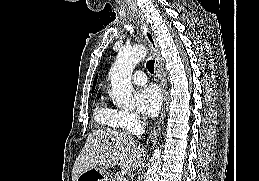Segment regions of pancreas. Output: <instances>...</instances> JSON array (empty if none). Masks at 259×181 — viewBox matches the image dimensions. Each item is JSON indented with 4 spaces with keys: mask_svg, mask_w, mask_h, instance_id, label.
<instances>
[{
    "mask_svg": "<svg viewBox=\"0 0 259 181\" xmlns=\"http://www.w3.org/2000/svg\"><path fill=\"white\" fill-rule=\"evenodd\" d=\"M121 178H122V173H121V172H117V173L114 175L112 181H120Z\"/></svg>",
    "mask_w": 259,
    "mask_h": 181,
    "instance_id": "obj_1",
    "label": "pancreas"
}]
</instances>
